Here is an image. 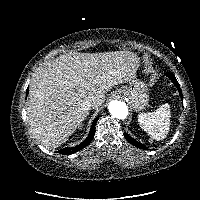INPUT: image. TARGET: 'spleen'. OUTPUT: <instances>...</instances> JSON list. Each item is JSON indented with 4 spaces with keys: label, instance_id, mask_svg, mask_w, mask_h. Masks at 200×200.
<instances>
[{
    "label": "spleen",
    "instance_id": "obj_1",
    "mask_svg": "<svg viewBox=\"0 0 200 200\" xmlns=\"http://www.w3.org/2000/svg\"><path fill=\"white\" fill-rule=\"evenodd\" d=\"M170 107L163 104L154 112L141 113L138 115V122L152 139L163 140L166 138L170 128Z\"/></svg>",
    "mask_w": 200,
    "mask_h": 200
}]
</instances>
